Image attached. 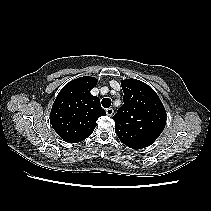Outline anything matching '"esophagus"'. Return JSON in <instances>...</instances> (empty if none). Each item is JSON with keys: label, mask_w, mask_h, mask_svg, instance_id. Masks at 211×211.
I'll list each match as a JSON object with an SVG mask.
<instances>
[{"label": "esophagus", "mask_w": 211, "mask_h": 211, "mask_svg": "<svg viewBox=\"0 0 211 211\" xmlns=\"http://www.w3.org/2000/svg\"><path fill=\"white\" fill-rule=\"evenodd\" d=\"M106 114L111 117L114 114V110L112 108H108L106 109Z\"/></svg>", "instance_id": "34e87169"}]
</instances>
